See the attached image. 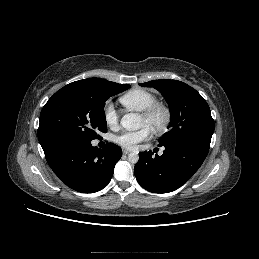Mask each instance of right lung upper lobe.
Here are the masks:
<instances>
[{
  "label": "right lung upper lobe",
  "instance_id": "cb5924a9",
  "mask_svg": "<svg viewBox=\"0 0 259 259\" xmlns=\"http://www.w3.org/2000/svg\"><path fill=\"white\" fill-rule=\"evenodd\" d=\"M106 81L107 80L100 79V78H88V79H83V80L75 81L72 84L99 85V84H102V83H104Z\"/></svg>",
  "mask_w": 259,
  "mask_h": 259
}]
</instances>
